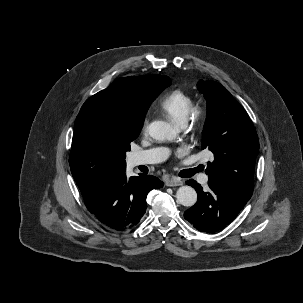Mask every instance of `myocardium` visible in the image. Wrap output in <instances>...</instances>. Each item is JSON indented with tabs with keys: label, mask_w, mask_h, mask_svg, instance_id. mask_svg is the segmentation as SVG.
Listing matches in <instances>:
<instances>
[{
	"label": "myocardium",
	"mask_w": 303,
	"mask_h": 303,
	"mask_svg": "<svg viewBox=\"0 0 303 303\" xmlns=\"http://www.w3.org/2000/svg\"><path fill=\"white\" fill-rule=\"evenodd\" d=\"M205 116V110L200 105H193L190 109L188 119L186 123H190L193 129H196L201 122L203 121Z\"/></svg>",
	"instance_id": "f54148a6"
}]
</instances>
